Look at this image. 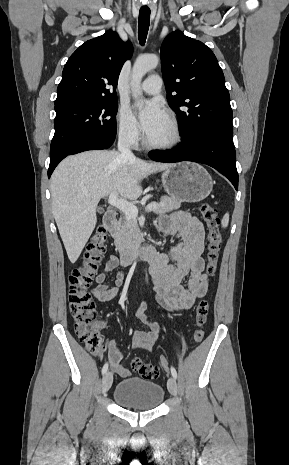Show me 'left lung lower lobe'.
<instances>
[{
	"instance_id": "left-lung-lower-lobe-1",
	"label": "left lung lower lobe",
	"mask_w": 289,
	"mask_h": 465,
	"mask_svg": "<svg viewBox=\"0 0 289 465\" xmlns=\"http://www.w3.org/2000/svg\"><path fill=\"white\" fill-rule=\"evenodd\" d=\"M149 157L158 162L192 161L207 164L225 177L238 190L236 152L231 138L223 135L196 132L173 150L152 151Z\"/></svg>"
}]
</instances>
